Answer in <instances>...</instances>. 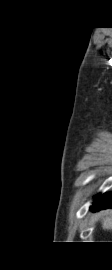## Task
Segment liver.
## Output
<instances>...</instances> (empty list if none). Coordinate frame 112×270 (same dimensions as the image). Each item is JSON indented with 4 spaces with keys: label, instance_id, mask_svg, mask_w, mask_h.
<instances>
[{
    "label": "liver",
    "instance_id": "obj_1",
    "mask_svg": "<svg viewBox=\"0 0 112 270\" xmlns=\"http://www.w3.org/2000/svg\"><path fill=\"white\" fill-rule=\"evenodd\" d=\"M102 227L104 230H112V217L104 219Z\"/></svg>",
    "mask_w": 112,
    "mask_h": 270
}]
</instances>
